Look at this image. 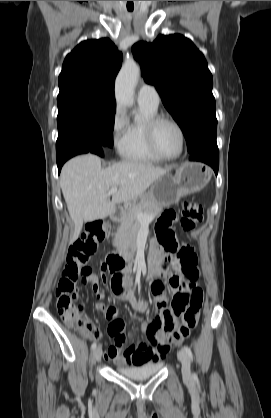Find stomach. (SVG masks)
I'll use <instances>...</instances> for the list:
<instances>
[{
    "label": "stomach",
    "mask_w": 271,
    "mask_h": 418,
    "mask_svg": "<svg viewBox=\"0 0 271 418\" xmlns=\"http://www.w3.org/2000/svg\"><path fill=\"white\" fill-rule=\"evenodd\" d=\"M211 169L203 163L186 162L174 175L159 177L142 197L152 199L160 207L177 203L181 197L201 191L210 181Z\"/></svg>",
    "instance_id": "1"
}]
</instances>
